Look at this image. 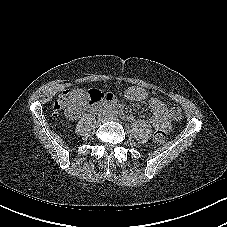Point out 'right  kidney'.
I'll return each mask as SVG.
<instances>
[{"label":"right kidney","instance_id":"obj_1","mask_svg":"<svg viewBox=\"0 0 227 227\" xmlns=\"http://www.w3.org/2000/svg\"><path fill=\"white\" fill-rule=\"evenodd\" d=\"M79 103H80L79 98L69 97V101L67 103V107H66V110H65V115L70 120H74L78 117V115L80 113L79 105H81Z\"/></svg>","mask_w":227,"mask_h":227}]
</instances>
